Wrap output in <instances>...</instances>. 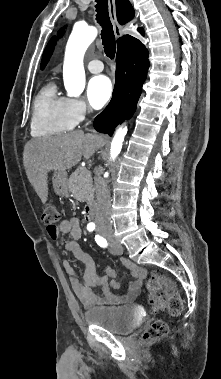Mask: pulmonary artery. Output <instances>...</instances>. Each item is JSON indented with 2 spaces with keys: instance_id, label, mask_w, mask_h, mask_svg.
Returning <instances> with one entry per match:
<instances>
[{
  "instance_id": "obj_1",
  "label": "pulmonary artery",
  "mask_w": 221,
  "mask_h": 379,
  "mask_svg": "<svg viewBox=\"0 0 221 379\" xmlns=\"http://www.w3.org/2000/svg\"><path fill=\"white\" fill-rule=\"evenodd\" d=\"M87 68L92 73H99L104 67L100 60H91L87 63Z\"/></svg>"
}]
</instances>
